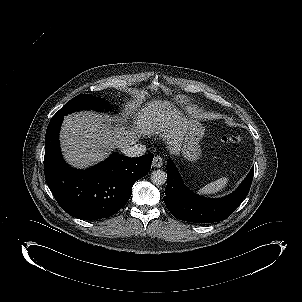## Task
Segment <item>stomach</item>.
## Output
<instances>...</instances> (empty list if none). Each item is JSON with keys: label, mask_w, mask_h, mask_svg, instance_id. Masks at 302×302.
Listing matches in <instances>:
<instances>
[{"label": "stomach", "mask_w": 302, "mask_h": 302, "mask_svg": "<svg viewBox=\"0 0 302 302\" xmlns=\"http://www.w3.org/2000/svg\"><path fill=\"white\" fill-rule=\"evenodd\" d=\"M204 131L199 121L192 119L186 121L181 154L187 161L194 162L199 159L201 155L199 143L204 136Z\"/></svg>", "instance_id": "0dacf381"}]
</instances>
